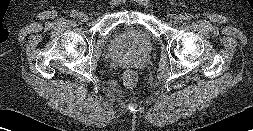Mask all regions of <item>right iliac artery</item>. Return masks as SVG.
Wrapping results in <instances>:
<instances>
[{
    "label": "right iliac artery",
    "mask_w": 253,
    "mask_h": 131,
    "mask_svg": "<svg viewBox=\"0 0 253 131\" xmlns=\"http://www.w3.org/2000/svg\"><path fill=\"white\" fill-rule=\"evenodd\" d=\"M70 16L73 17V18H76L78 16V12L73 10L71 13H70Z\"/></svg>",
    "instance_id": "obj_1"
}]
</instances>
